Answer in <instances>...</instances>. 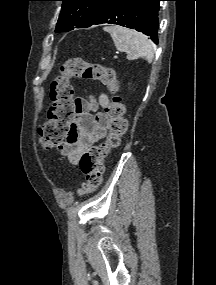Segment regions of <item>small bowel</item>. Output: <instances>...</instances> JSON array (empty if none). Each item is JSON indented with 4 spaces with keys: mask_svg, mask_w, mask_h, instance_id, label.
<instances>
[{
    "mask_svg": "<svg viewBox=\"0 0 216 285\" xmlns=\"http://www.w3.org/2000/svg\"><path fill=\"white\" fill-rule=\"evenodd\" d=\"M77 112L70 131L60 145L62 153L67 155L73 164H78L81 156L103 140L107 133L108 116L99 110L109 104L106 94L95 98L76 99Z\"/></svg>",
    "mask_w": 216,
    "mask_h": 285,
    "instance_id": "small-bowel-1",
    "label": "small bowel"
}]
</instances>
